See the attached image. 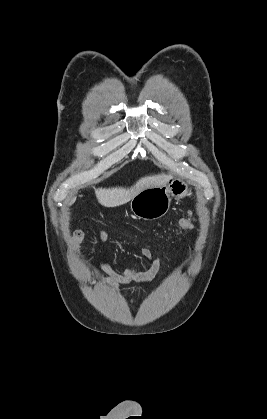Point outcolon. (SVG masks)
I'll list each match as a JSON object with an SVG mask.
<instances>
[{"instance_id":"colon-1","label":"colon","mask_w":267,"mask_h":419,"mask_svg":"<svg viewBox=\"0 0 267 419\" xmlns=\"http://www.w3.org/2000/svg\"><path fill=\"white\" fill-rule=\"evenodd\" d=\"M193 221L194 219L192 216L181 219L179 223L180 231H186L190 229L193 225Z\"/></svg>"}]
</instances>
